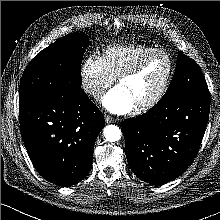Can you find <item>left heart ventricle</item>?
<instances>
[{
    "mask_svg": "<svg viewBox=\"0 0 220 220\" xmlns=\"http://www.w3.org/2000/svg\"><path fill=\"white\" fill-rule=\"evenodd\" d=\"M168 72V61L163 55L149 57L138 73L122 80L118 86L123 88L138 106L151 99L163 84Z\"/></svg>",
    "mask_w": 220,
    "mask_h": 220,
    "instance_id": "left-heart-ventricle-1",
    "label": "left heart ventricle"
}]
</instances>
